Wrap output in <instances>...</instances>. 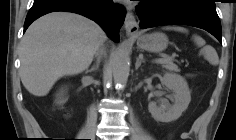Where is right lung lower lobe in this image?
Segmentation results:
<instances>
[{
	"instance_id": "right-lung-lower-lobe-1",
	"label": "right lung lower lobe",
	"mask_w": 236,
	"mask_h": 140,
	"mask_svg": "<svg viewBox=\"0 0 236 140\" xmlns=\"http://www.w3.org/2000/svg\"><path fill=\"white\" fill-rule=\"evenodd\" d=\"M67 11L96 21L115 42H119V28L125 19V9L112 0H34L24 31L37 18L50 12Z\"/></svg>"
}]
</instances>
